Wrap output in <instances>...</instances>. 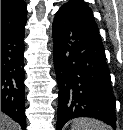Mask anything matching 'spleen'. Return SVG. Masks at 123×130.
Returning <instances> with one entry per match:
<instances>
[{"label": "spleen", "mask_w": 123, "mask_h": 130, "mask_svg": "<svg viewBox=\"0 0 123 130\" xmlns=\"http://www.w3.org/2000/svg\"><path fill=\"white\" fill-rule=\"evenodd\" d=\"M108 128L105 123L93 118H76L71 125V130H109Z\"/></svg>", "instance_id": "3e777b00"}]
</instances>
